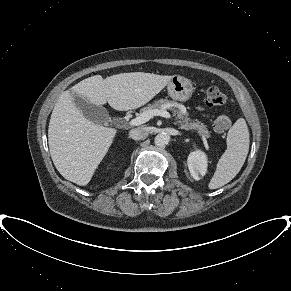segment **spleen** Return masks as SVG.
<instances>
[{
  "instance_id": "spleen-1",
  "label": "spleen",
  "mask_w": 291,
  "mask_h": 291,
  "mask_svg": "<svg viewBox=\"0 0 291 291\" xmlns=\"http://www.w3.org/2000/svg\"><path fill=\"white\" fill-rule=\"evenodd\" d=\"M227 149L218 161L216 171L209 182L210 189H217L230 182L241 170L249 151V130L246 121L239 118L229 129Z\"/></svg>"
}]
</instances>
